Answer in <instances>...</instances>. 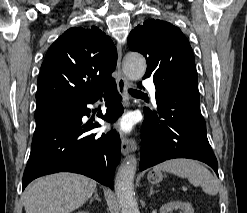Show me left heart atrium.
<instances>
[{
  "label": "left heart atrium",
  "instance_id": "left-heart-atrium-1",
  "mask_svg": "<svg viewBox=\"0 0 247 213\" xmlns=\"http://www.w3.org/2000/svg\"><path fill=\"white\" fill-rule=\"evenodd\" d=\"M118 129L122 132H128L131 127H132V123L128 118H123L119 124H118Z\"/></svg>",
  "mask_w": 247,
  "mask_h": 213
}]
</instances>
